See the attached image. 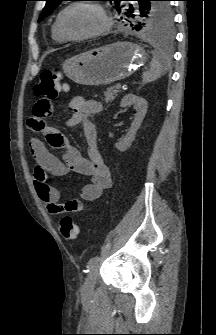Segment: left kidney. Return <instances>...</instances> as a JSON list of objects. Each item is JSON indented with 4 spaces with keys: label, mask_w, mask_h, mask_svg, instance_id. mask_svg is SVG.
Returning <instances> with one entry per match:
<instances>
[{
    "label": "left kidney",
    "mask_w": 216,
    "mask_h": 335,
    "mask_svg": "<svg viewBox=\"0 0 216 335\" xmlns=\"http://www.w3.org/2000/svg\"><path fill=\"white\" fill-rule=\"evenodd\" d=\"M130 105L134 106V109H136L137 113L135 114L134 120L126 136L115 144V147L121 152L126 151L131 146V143L135 139L136 132L140 128L147 112V101L142 97L136 96L134 94L126 95L121 100L120 107L124 108Z\"/></svg>",
    "instance_id": "1"
}]
</instances>
